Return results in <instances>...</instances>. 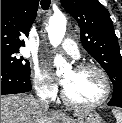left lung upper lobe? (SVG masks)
<instances>
[{"label": "left lung upper lobe", "instance_id": "left-lung-upper-lobe-1", "mask_svg": "<svg viewBox=\"0 0 122 123\" xmlns=\"http://www.w3.org/2000/svg\"><path fill=\"white\" fill-rule=\"evenodd\" d=\"M80 27L85 50L103 67L113 83V95L122 94V57L108 10L98 0H61Z\"/></svg>", "mask_w": 122, "mask_h": 123}]
</instances>
